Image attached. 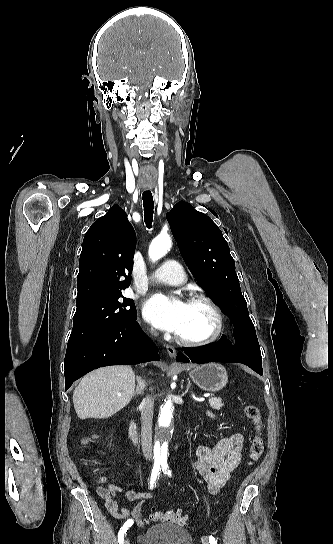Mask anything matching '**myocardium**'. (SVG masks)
<instances>
[{"mask_svg":"<svg viewBox=\"0 0 333 544\" xmlns=\"http://www.w3.org/2000/svg\"><path fill=\"white\" fill-rule=\"evenodd\" d=\"M188 303L205 304L211 310V312L213 313L215 317V327L213 332L205 338L187 339L179 335H176L177 341L183 345L191 346V347L206 346L215 342L222 335L224 331V326H225V317L219 305L215 302V300H213L211 297L205 294L192 295L189 298Z\"/></svg>","mask_w":333,"mask_h":544,"instance_id":"1","label":"myocardium"}]
</instances>
